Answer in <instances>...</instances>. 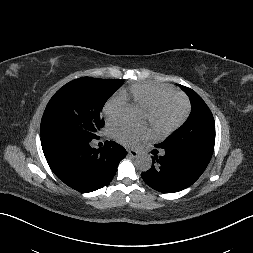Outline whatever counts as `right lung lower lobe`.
I'll use <instances>...</instances> for the list:
<instances>
[{"label": "right lung lower lobe", "mask_w": 253, "mask_h": 253, "mask_svg": "<svg viewBox=\"0 0 253 253\" xmlns=\"http://www.w3.org/2000/svg\"><path fill=\"white\" fill-rule=\"evenodd\" d=\"M91 140L53 134L41 137L52 171L66 185L83 193L107 185L126 156V150L116 142L106 141L96 150L90 146Z\"/></svg>", "instance_id": "right-lung-lower-lobe-1"}]
</instances>
